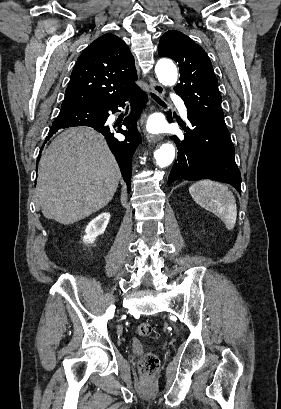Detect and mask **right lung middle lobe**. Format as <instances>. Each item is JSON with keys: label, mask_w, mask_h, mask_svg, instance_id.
<instances>
[{"label": "right lung middle lobe", "mask_w": 281, "mask_h": 409, "mask_svg": "<svg viewBox=\"0 0 281 409\" xmlns=\"http://www.w3.org/2000/svg\"><path fill=\"white\" fill-rule=\"evenodd\" d=\"M88 120L81 117H64L58 116L57 119L53 122L52 127H71V126H82L86 124Z\"/></svg>", "instance_id": "dd1d6c3e"}]
</instances>
